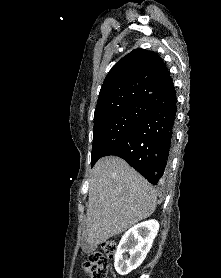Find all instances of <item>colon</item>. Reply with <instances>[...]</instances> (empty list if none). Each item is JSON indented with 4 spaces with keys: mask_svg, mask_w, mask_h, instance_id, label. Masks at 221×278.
Wrapping results in <instances>:
<instances>
[{
    "mask_svg": "<svg viewBox=\"0 0 221 278\" xmlns=\"http://www.w3.org/2000/svg\"><path fill=\"white\" fill-rule=\"evenodd\" d=\"M117 244L113 240L103 242L102 250L95 251L84 263V269L90 278H106L108 258L115 256Z\"/></svg>",
    "mask_w": 221,
    "mask_h": 278,
    "instance_id": "colon-1",
    "label": "colon"
}]
</instances>
